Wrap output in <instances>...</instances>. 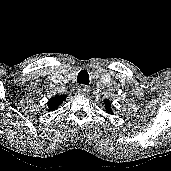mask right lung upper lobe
Instances as JSON below:
<instances>
[{
	"label": "right lung upper lobe",
	"mask_w": 171,
	"mask_h": 171,
	"mask_svg": "<svg viewBox=\"0 0 171 171\" xmlns=\"http://www.w3.org/2000/svg\"><path fill=\"white\" fill-rule=\"evenodd\" d=\"M65 98H66L65 95L52 97L48 101L49 111L55 110L65 100Z\"/></svg>",
	"instance_id": "1"
}]
</instances>
